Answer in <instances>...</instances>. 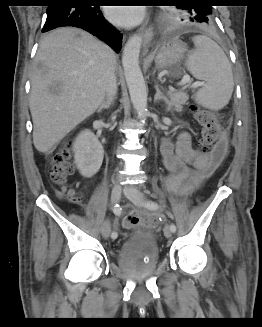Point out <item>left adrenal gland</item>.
<instances>
[{
  "instance_id": "1",
  "label": "left adrenal gland",
  "mask_w": 262,
  "mask_h": 327,
  "mask_svg": "<svg viewBox=\"0 0 262 327\" xmlns=\"http://www.w3.org/2000/svg\"><path fill=\"white\" fill-rule=\"evenodd\" d=\"M155 89H156V94L154 96V103L162 100L167 105V111H170L171 107H170V101L168 100V98L162 94L158 85L155 86Z\"/></svg>"
}]
</instances>
